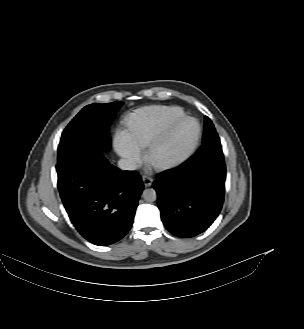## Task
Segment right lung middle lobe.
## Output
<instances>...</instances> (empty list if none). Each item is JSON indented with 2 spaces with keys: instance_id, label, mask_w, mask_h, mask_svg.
Segmentation results:
<instances>
[{
  "instance_id": "right-lung-middle-lobe-1",
  "label": "right lung middle lobe",
  "mask_w": 304,
  "mask_h": 329,
  "mask_svg": "<svg viewBox=\"0 0 304 329\" xmlns=\"http://www.w3.org/2000/svg\"><path fill=\"white\" fill-rule=\"evenodd\" d=\"M123 102L90 104L67 125L58 146L57 162L86 152L109 149L110 139L102 138Z\"/></svg>"
}]
</instances>
